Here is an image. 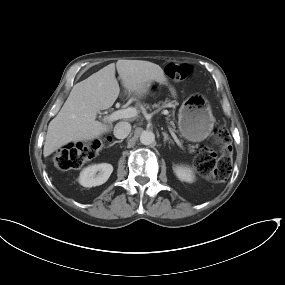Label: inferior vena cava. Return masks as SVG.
<instances>
[{
	"label": "inferior vena cava",
	"instance_id": "602c4592",
	"mask_svg": "<svg viewBox=\"0 0 285 285\" xmlns=\"http://www.w3.org/2000/svg\"><path fill=\"white\" fill-rule=\"evenodd\" d=\"M131 132V125L128 122H119L114 127V136L118 139L126 138Z\"/></svg>",
	"mask_w": 285,
	"mask_h": 285
}]
</instances>
